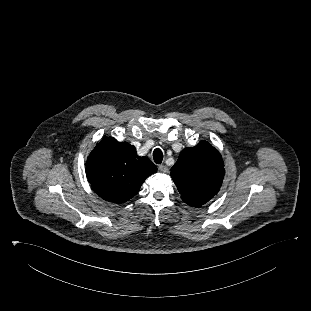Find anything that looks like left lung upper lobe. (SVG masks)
I'll return each mask as SVG.
<instances>
[{
	"instance_id": "left-lung-upper-lobe-1",
	"label": "left lung upper lobe",
	"mask_w": 311,
	"mask_h": 311,
	"mask_svg": "<svg viewBox=\"0 0 311 311\" xmlns=\"http://www.w3.org/2000/svg\"><path fill=\"white\" fill-rule=\"evenodd\" d=\"M224 174L220 153L207 141L185 148L171 168L182 200L192 207L207 203L218 193Z\"/></svg>"
}]
</instances>
